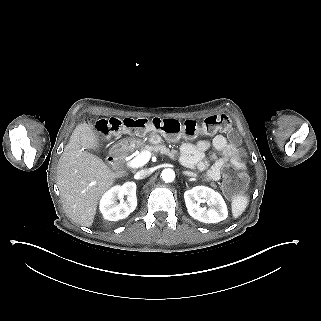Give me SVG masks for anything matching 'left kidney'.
<instances>
[{
    "label": "left kidney",
    "instance_id": "5707ae66",
    "mask_svg": "<svg viewBox=\"0 0 321 321\" xmlns=\"http://www.w3.org/2000/svg\"><path fill=\"white\" fill-rule=\"evenodd\" d=\"M185 204L188 213L194 219L204 223H218L228 217L226 203L222 196L206 186H195L184 193ZM205 201L209 205L207 210L200 207Z\"/></svg>",
    "mask_w": 321,
    "mask_h": 321
}]
</instances>
